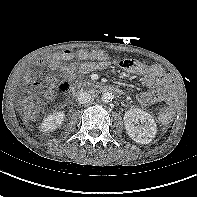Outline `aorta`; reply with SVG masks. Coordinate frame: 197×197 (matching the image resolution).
Wrapping results in <instances>:
<instances>
[{"mask_svg": "<svg viewBox=\"0 0 197 197\" xmlns=\"http://www.w3.org/2000/svg\"><path fill=\"white\" fill-rule=\"evenodd\" d=\"M114 95L111 92H104L102 94V100L104 102H111L113 100Z\"/></svg>", "mask_w": 197, "mask_h": 197, "instance_id": "1", "label": "aorta"}]
</instances>
